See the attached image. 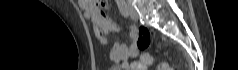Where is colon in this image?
Returning <instances> with one entry per match:
<instances>
[{"mask_svg": "<svg viewBox=\"0 0 238 70\" xmlns=\"http://www.w3.org/2000/svg\"><path fill=\"white\" fill-rule=\"evenodd\" d=\"M91 2L99 3L98 0H92ZM137 36H138V40H137L138 48L140 50H145L150 44L152 32L149 29H147L146 27H140L137 30ZM145 56H147V57L144 59L141 58L140 62H136L133 64L134 70H146L147 69L151 60L148 55H145ZM157 70H171L170 64L169 63H158Z\"/></svg>", "mask_w": 238, "mask_h": 70, "instance_id": "obj_1", "label": "colon"}]
</instances>
